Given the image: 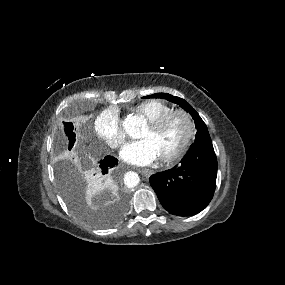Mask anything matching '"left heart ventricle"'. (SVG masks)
I'll return each mask as SVG.
<instances>
[{"label": "left heart ventricle", "instance_id": "left-heart-ventricle-1", "mask_svg": "<svg viewBox=\"0 0 285 285\" xmlns=\"http://www.w3.org/2000/svg\"><path fill=\"white\" fill-rule=\"evenodd\" d=\"M187 133V125L181 117L170 120L163 128L153 129L147 125L141 134L143 139H151L160 157L174 152L182 143Z\"/></svg>", "mask_w": 285, "mask_h": 285}]
</instances>
